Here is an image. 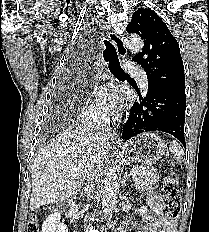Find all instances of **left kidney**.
I'll return each instance as SVG.
<instances>
[{
	"instance_id": "left-kidney-1",
	"label": "left kidney",
	"mask_w": 209,
	"mask_h": 232,
	"mask_svg": "<svg viewBox=\"0 0 209 232\" xmlns=\"http://www.w3.org/2000/svg\"><path fill=\"white\" fill-rule=\"evenodd\" d=\"M147 211V208L146 207H142L141 209H140V212L141 213H144V212H146Z\"/></svg>"
}]
</instances>
